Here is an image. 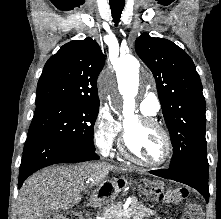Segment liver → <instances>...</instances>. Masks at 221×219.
<instances>
[{"label": "liver", "mask_w": 221, "mask_h": 219, "mask_svg": "<svg viewBox=\"0 0 221 219\" xmlns=\"http://www.w3.org/2000/svg\"><path fill=\"white\" fill-rule=\"evenodd\" d=\"M118 167L106 163L53 166L29 177L22 185L17 205L19 219H43L48 210H67L78 204L81 192L100 185Z\"/></svg>", "instance_id": "liver-1"}]
</instances>
